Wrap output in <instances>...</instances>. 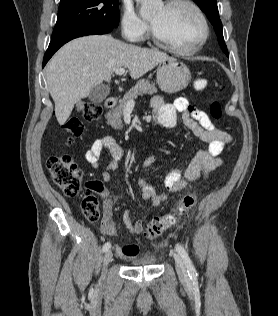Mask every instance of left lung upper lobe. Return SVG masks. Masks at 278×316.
I'll return each instance as SVG.
<instances>
[{
	"instance_id": "obj_1",
	"label": "left lung upper lobe",
	"mask_w": 278,
	"mask_h": 316,
	"mask_svg": "<svg viewBox=\"0 0 278 316\" xmlns=\"http://www.w3.org/2000/svg\"><path fill=\"white\" fill-rule=\"evenodd\" d=\"M203 12L207 15L209 21L214 26L218 41L224 53L228 56L226 44L224 42L222 23L219 18V12L216 0H194Z\"/></svg>"
}]
</instances>
